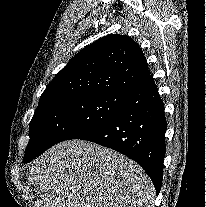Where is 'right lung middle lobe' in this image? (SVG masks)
Here are the masks:
<instances>
[{"mask_svg":"<svg viewBox=\"0 0 206 207\" xmlns=\"http://www.w3.org/2000/svg\"><path fill=\"white\" fill-rule=\"evenodd\" d=\"M125 94L62 97L40 103L31 120L24 160L101 125L119 112Z\"/></svg>","mask_w":206,"mask_h":207,"instance_id":"1","label":"right lung middle lobe"}]
</instances>
